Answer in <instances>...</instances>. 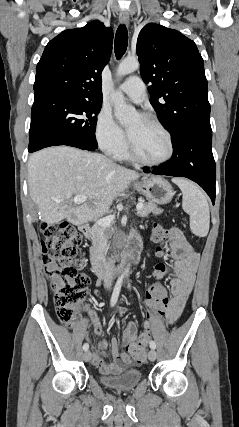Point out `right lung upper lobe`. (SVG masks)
Listing matches in <instances>:
<instances>
[{
    "label": "right lung upper lobe",
    "mask_w": 239,
    "mask_h": 427,
    "mask_svg": "<svg viewBox=\"0 0 239 427\" xmlns=\"http://www.w3.org/2000/svg\"><path fill=\"white\" fill-rule=\"evenodd\" d=\"M113 30L102 22L61 32L45 47L36 67L34 99L68 97L102 102L101 73L108 63Z\"/></svg>",
    "instance_id": "1"
}]
</instances>
